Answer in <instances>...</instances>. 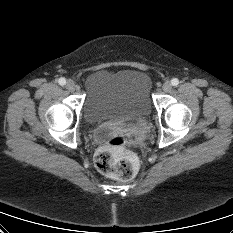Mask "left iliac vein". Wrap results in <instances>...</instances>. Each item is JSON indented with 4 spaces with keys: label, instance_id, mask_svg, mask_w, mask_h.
<instances>
[{
    "label": "left iliac vein",
    "instance_id": "obj_1",
    "mask_svg": "<svg viewBox=\"0 0 233 233\" xmlns=\"http://www.w3.org/2000/svg\"><path fill=\"white\" fill-rule=\"evenodd\" d=\"M171 89H172V85H171V83L169 81H166V82L163 83L162 90L164 92H169Z\"/></svg>",
    "mask_w": 233,
    "mask_h": 233
}]
</instances>
